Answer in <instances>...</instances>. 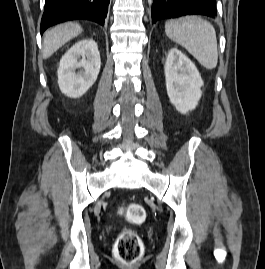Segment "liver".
Masks as SVG:
<instances>
[{
    "label": "liver",
    "instance_id": "obj_1",
    "mask_svg": "<svg viewBox=\"0 0 265 269\" xmlns=\"http://www.w3.org/2000/svg\"><path fill=\"white\" fill-rule=\"evenodd\" d=\"M82 30L78 23L68 22L47 31L43 39V58H49L65 43L78 36Z\"/></svg>",
    "mask_w": 265,
    "mask_h": 269
}]
</instances>
